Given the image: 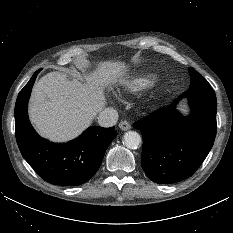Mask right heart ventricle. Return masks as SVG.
<instances>
[{
    "instance_id": "right-heart-ventricle-1",
    "label": "right heart ventricle",
    "mask_w": 233,
    "mask_h": 233,
    "mask_svg": "<svg viewBox=\"0 0 233 233\" xmlns=\"http://www.w3.org/2000/svg\"><path fill=\"white\" fill-rule=\"evenodd\" d=\"M158 80V75L150 71H138L122 83V90L127 93H139L151 86Z\"/></svg>"
}]
</instances>
